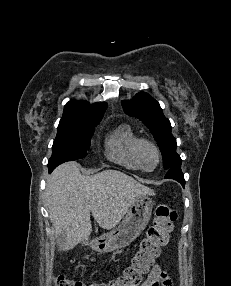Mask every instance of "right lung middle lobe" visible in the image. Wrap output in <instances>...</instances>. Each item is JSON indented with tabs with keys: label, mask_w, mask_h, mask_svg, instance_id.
Instances as JSON below:
<instances>
[{
	"label": "right lung middle lobe",
	"mask_w": 231,
	"mask_h": 286,
	"mask_svg": "<svg viewBox=\"0 0 231 286\" xmlns=\"http://www.w3.org/2000/svg\"><path fill=\"white\" fill-rule=\"evenodd\" d=\"M103 115H63L48 165L84 158L94 129Z\"/></svg>",
	"instance_id": "dd1d6c3e"
}]
</instances>
